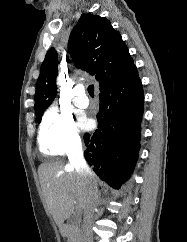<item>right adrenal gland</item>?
<instances>
[{
    "instance_id": "2a0ac1e0",
    "label": "right adrenal gland",
    "mask_w": 187,
    "mask_h": 242,
    "mask_svg": "<svg viewBox=\"0 0 187 242\" xmlns=\"http://www.w3.org/2000/svg\"><path fill=\"white\" fill-rule=\"evenodd\" d=\"M101 200H102L101 193H99V203H101Z\"/></svg>"
}]
</instances>
